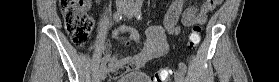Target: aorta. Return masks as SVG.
<instances>
[{
    "instance_id": "aorta-1",
    "label": "aorta",
    "mask_w": 279,
    "mask_h": 82,
    "mask_svg": "<svg viewBox=\"0 0 279 82\" xmlns=\"http://www.w3.org/2000/svg\"><path fill=\"white\" fill-rule=\"evenodd\" d=\"M136 4L138 7H140V5L142 4V0H136Z\"/></svg>"
}]
</instances>
